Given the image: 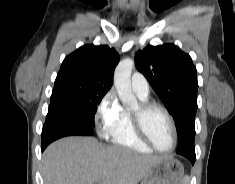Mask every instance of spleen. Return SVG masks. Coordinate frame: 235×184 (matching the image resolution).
<instances>
[{"label": "spleen", "mask_w": 235, "mask_h": 184, "mask_svg": "<svg viewBox=\"0 0 235 184\" xmlns=\"http://www.w3.org/2000/svg\"><path fill=\"white\" fill-rule=\"evenodd\" d=\"M183 184H189V176H185V178H183Z\"/></svg>", "instance_id": "1"}]
</instances>
